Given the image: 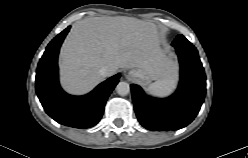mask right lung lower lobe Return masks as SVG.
I'll return each instance as SVG.
<instances>
[{"mask_svg":"<svg viewBox=\"0 0 248 158\" xmlns=\"http://www.w3.org/2000/svg\"><path fill=\"white\" fill-rule=\"evenodd\" d=\"M70 27L58 34L47 46L36 73V93L46 113L56 122L74 127L89 128L98 123L108 96L119 81L117 74L85 96L65 93L58 82L57 59L60 46Z\"/></svg>","mask_w":248,"mask_h":158,"instance_id":"right-lung-lower-lobe-1","label":"right lung lower lobe"}]
</instances>
